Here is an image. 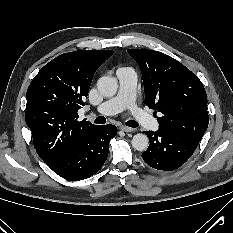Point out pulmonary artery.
Masks as SVG:
<instances>
[{"label":"pulmonary artery","mask_w":233,"mask_h":233,"mask_svg":"<svg viewBox=\"0 0 233 233\" xmlns=\"http://www.w3.org/2000/svg\"><path fill=\"white\" fill-rule=\"evenodd\" d=\"M116 75L119 81L118 93L100 104L96 108V113L109 116L127 109L142 127L151 131L157 130V121L136 104V72L131 68H119Z\"/></svg>","instance_id":"pulmonary-artery-1"}]
</instances>
